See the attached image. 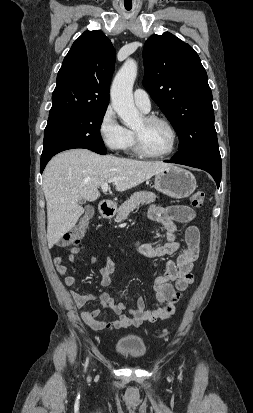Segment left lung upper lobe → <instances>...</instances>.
<instances>
[{"label":"left lung upper lobe","mask_w":253,"mask_h":413,"mask_svg":"<svg viewBox=\"0 0 253 413\" xmlns=\"http://www.w3.org/2000/svg\"><path fill=\"white\" fill-rule=\"evenodd\" d=\"M143 84L177 131L179 160L221 161L214 127L212 92L198 54L171 33L144 45Z\"/></svg>","instance_id":"5c2ea615"}]
</instances>
